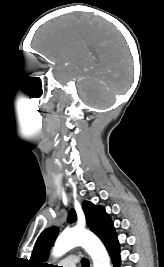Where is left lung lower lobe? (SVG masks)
Instances as JSON below:
<instances>
[{
  "label": "left lung lower lobe",
  "mask_w": 164,
  "mask_h": 267,
  "mask_svg": "<svg viewBox=\"0 0 164 267\" xmlns=\"http://www.w3.org/2000/svg\"><path fill=\"white\" fill-rule=\"evenodd\" d=\"M106 249L108 250L114 267H119L120 265V250H119V242L116 237L115 231L111 233V235L103 241Z\"/></svg>",
  "instance_id": "0a47b994"
}]
</instances>
